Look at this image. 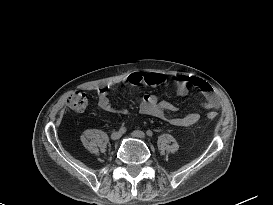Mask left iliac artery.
Segmentation results:
<instances>
[{"mask_svg": "<svg viewBox=\"0 0 273 205\" xmlns=\"http://www.w3.org/2000/svg\"><path fill=\"white\" fill-rule=\"evenodd\" d=\"M146 134H147V136H149V137H152V136H153V132H152L151 130H147V131H146Z\"/></svg>", "mask_w": 273, "mask_h": 205, "instance_id": "44dca946", "label": "left iliac artery"}]
</instances>
